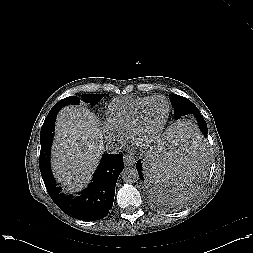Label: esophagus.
<instances>
[{"label":"esophagus","instance_id":"1","mask_svg":"<svg viewBox=\"0 0 253 253\" xmlns=\"http://www.w3.org/2000/svg\"><path fill=\"white\" fill-rule=\"evenodd\" d=\"M136 162L135 158L131 155H125L124 156V165L125 166H132Z\"/></svg>","mask_w":253,"mask_h":253}]
</instances>
